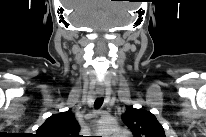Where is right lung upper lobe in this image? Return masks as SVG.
I'll list each match as a JSON object with an SVG mask.
<instances>
[{
    "mask_svg": "<svg viewBox=\"0 0 206 137\" xmlns=\"http://www.w3.org/2000/svg\"><path fill=\"white\" fill-rule=\"evenodd\" d=\"M80 126L70 111L55 114L37 129L38 137H78Z\"/></svg>",
    "mask_w": 206,
    "mask_h": 137,
    "instance_id": "1",
    "label": "right lung upper lobe"
}]
</instances>
